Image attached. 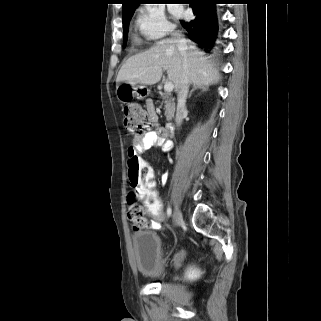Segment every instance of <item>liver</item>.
Wrapping results in <instances>:
<instances>
[{"mask_svg":"<svg viewBox=\"0 0 321 321\" xmlns=\"http://www.w3.org/2000/svg\"><path fill=\"white\" fill-rule=\"evenodd\" d=\"M190 82L194 85L209 86L216 83L219 73L208 57L193 42L186 40ZM183 59L176 39H163L147 51L130 57L121 67L117 82L154 85L161 80L163 69L176 90L182 76Z\"/></svg>","mask_w":321,"mask_h":321,"instance_id":"1","label":"liver"}]
</instances>
